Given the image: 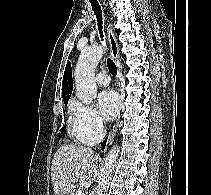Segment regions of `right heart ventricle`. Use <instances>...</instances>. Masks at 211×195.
<instances>
[{"mask_svg":"<svg viewBox=\"0 0 211 195\" xmlns=\"http://www.w3.org/2000/svg\"><path fill=\"white\" fill-rule=\"evenodd\" d=\"M71 107H72V105H71ZM71 107H70V109H71ZM70 132H71V135H72L75 139L79 140V138L77 137V134H76V132H75L74 125L71 127Z\"/></svg>","mask_w":211,"mask_h":195,"instance_id":"1","label":"right heart ventricle"}]
</instances>
